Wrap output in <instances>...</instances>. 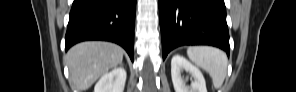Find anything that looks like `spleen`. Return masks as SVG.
I'll use <instances>...</instances> for the list:
<instances>
[{
  "mask_svg": "<svg viewBox=\"0 0 296 92\" xmlns=\"http://www.w3.org/2000/svg\"><path fill=\"white\" fill-rule=\"evenodd\" d=\"M189 59L198 67L206 70L215 88H220L227 74L226 54L214 47L192 46L187 49Z\"/></svg>",
  "mask_w": 296,
  "mask_h": 92,
  "instance_id": "spleen-1",
  "label": "spleen"
}]
</instances>
